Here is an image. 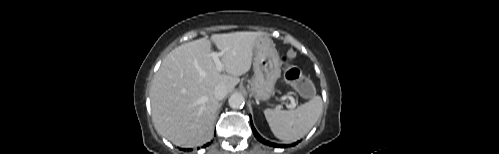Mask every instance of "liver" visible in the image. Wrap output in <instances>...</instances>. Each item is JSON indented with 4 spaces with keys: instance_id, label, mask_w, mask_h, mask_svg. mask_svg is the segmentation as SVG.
<instances>
[{
    "instance_id": "6515ba94",
    "label": "liver",
    "mask_w": 499,
    "mask_h": 154,
    "mask_svg": "<svg viewBox=\"0 0 499 154\" xmlns=\"http://www.w3.org/2000/svg\"><path fill=\"white\" fill-rule=\"evenodd\" d=\"M263 32L215 34L185 43L163 60L151 87V109L159 133L176 146L194 147L213 137L219 107L214 97L217 85L228 92L239 76L251 68L255 41ZM211 42L223 54V69L217 70L211 56Z\"/></svg>"
}]
</instances>
